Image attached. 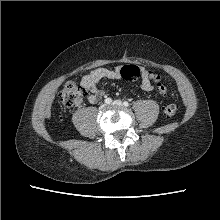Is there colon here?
<instances>
[{
    "mask_svg": "<svg viewBox=\"0 0 220 220\" xmlns=\"http://www.w3.org/2000/svg\"><path fill=\"white\" fill-rule=\"evenodd\" d=\"M141 75V70L135 65H125L120 70V76L127 81H134ZM148 76L155 82H159L160 76L154 71H148ZM159 94H166L168 89L165 85L159 84L157 87ZM83 95V90L75 82H69L65 85L59 95V102L62 108H70L78 103ZM175 104H168L163 109V115L166 118L173 117L177 112Z\"/></svg>",
    "mask_w": 220,
    "mask_h": 220,
    "instance_id": "5ec220e1",
    "label": "colon"
}]
</instances>
